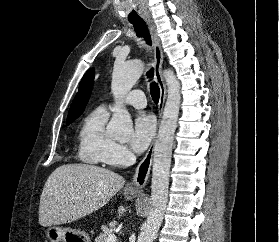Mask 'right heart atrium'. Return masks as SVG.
Instances as JSON below:
<instances>
[{"label":"right heart atrium","instance_id":"1","mask_svg":"<svg viewBox=\"0 0 279 242\" xmlns=\"http://www.w3.org/2000/svg\"><path fill=\"white\" fill-rule=\"evenodd\" d=\"M131 159V154L123 145L116 143L107 159V163L114 166L124 165Z\"/></svg>","mask_w":279,"mask_h":242}]
</instances>
